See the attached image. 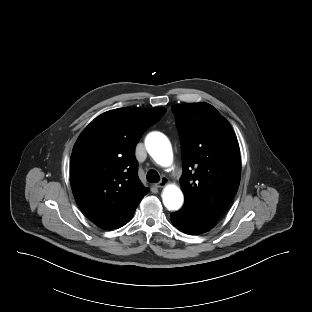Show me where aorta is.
<instances>
[{
  "label": "aorta",
  "instance_id": "obj_1",
  "mask_svg": "<svg viewBox=\"0 0 312 312\" xmlns=\"http://www.w3.org/2000/svg\"><path fill=\"white\" fill-rule=\"evenodd\" d=\"M145 146L150 156L161 166H169L173 160L172 147L168 138L159 132H152L145 139ZM165 207L178 210L183 204V193L175 185H168L162 194Z\"/></svg>",
  "mask_w": 312,
  "mask_h": 312
}]
</instances>
